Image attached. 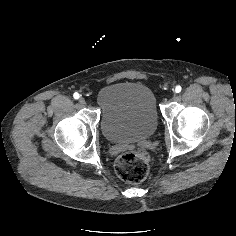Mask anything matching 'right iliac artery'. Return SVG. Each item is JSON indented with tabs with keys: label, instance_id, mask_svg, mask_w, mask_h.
<instances>
[{
	"label": "right iliac artery",
	"instance_id": "obj_1",
	"mask_svg": "<svg viewBox=\"0 0 236 236\" xmlns=\"http://www.w3.org/2000/svg\"><path fill=\"white\" fill-rule=\"evenodd\" d=\"M73 97H74L75 99H79L80 95H79V93L75 92V93L73 94Z\"/></svg>",
	"mask_w": 236,
	"mask_h": 236
}]
</instances>
